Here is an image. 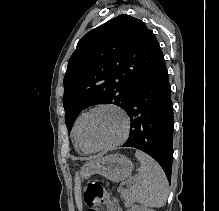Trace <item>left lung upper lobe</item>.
I'll return each instance as SVG.
<instances>
[{
    "instance_id": "5c2ea615",
    "label": "left lung upper lobe",
    "mask_w": 219,
    "mask_h": 211,
    "mask_svg": "<svg viewBox=\"0 0 219 211\" xmlns=\"http://www.w3.org/2000/svg\"><path fill=\"white\" fill-rule=\"evenodd\" d=\"M163 58L151 30L123 14L80 39L64 77L68 132L85 108L109 103L125 109L135 86Z\"/></svg>"
}]
</instances>
